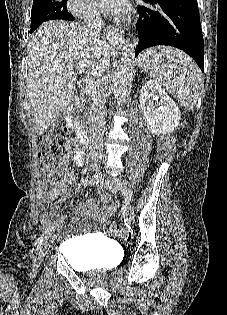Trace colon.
Returning <instances> with one entry per match:
<instances>
[{
    "instance_id": "obj_1",
    "label": "colon",
    "mask_w": 227,
    "mask_h": 315,
    "mask_svg": "<svg viewBox=\"0 0 227 315\" xmlns=\"http://www.w3.org/2000/svg\"><path fill=\"white\" fill-rule=\"evenodd\" d=\"M68 140V130L63 123H54L49 126L40 138L39 160L42 163L40 176L43 179L54 175L53 162L64 152ZM105 231L109 235L123 236L127 233L122 231L119 225L114 221H108L105 225Z\"/></svg>"
}]
</instances>
